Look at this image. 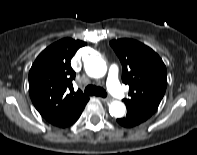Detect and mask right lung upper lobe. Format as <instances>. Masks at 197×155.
Returning a JSON list of instances; mask_svg holds the SVG:
<instances>
[{
	"label": "right lung upper lobe",
	"instance_id": "1",
	"mask_svg": "<svg viewBox=\"0 0 197 155\" xmlns=\"http://www.w3.org/2000/svg\"><path fill=\"white\" fill-rule=\"evenodd\" d=\"M86 43L64 38L42 51L29 72V94L38 112L51 124L68 126L89 100L74 92L75 72L70 61Z\"/></svg>",
	"mask_w": 197,
	"mask_h": 155
}]
</instances>
